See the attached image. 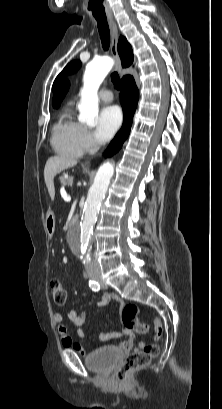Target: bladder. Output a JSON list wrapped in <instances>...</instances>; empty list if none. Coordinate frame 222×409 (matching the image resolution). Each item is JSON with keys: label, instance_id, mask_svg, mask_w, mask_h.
<instances>
[{"label": "bladder", "instance_id": "1", "mask_svg": "<svg viewBox=\"0 0 222 409\" xmlns=\"http://www.w3.org/2000/svg\"><path fill=\"white\" fill-rule=\"evenodd\" d=\"M120 352L116 347L98 348L85 358L86 367L96 374H109L118 361Z\"/></svg>", "mask_w": 222, "mask_h": 409}]
</instances>
